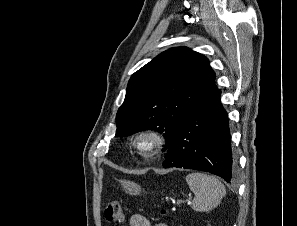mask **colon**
Masks as SVG:
<instances>
[{"label":"colon","instance_id":"colon-1","mask_svg":"<svg viewBox=\"0 0 297 226\" xmlns=\"http://www.w3.org/2000/svg\"><path fill=\"white\" fill-rule=\"evenodd\" d=\"M104 217L107 222L120 223L123 217L121 205L117 201H110L105 208Z\"/></svg>","mask_w":297,"mask_h":226}]
</instances>
